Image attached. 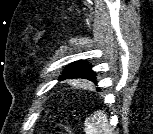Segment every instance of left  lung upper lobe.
<instances>
[{"label":"left lung upper lobe","instance_id":"left-lung-upper-lobe-1","mask_svg":"<svg viewBox=\"0 0 153 134\" xmlns=\"http://www.w3.org/2000/svg\"><path fill=\"white\" fill-rule=\"evenodd\" d=\"M74 78H82V79H88L90 81H93L95 84H97L95 80V73L91 70L90 66L82 61L73 62L70 64L64 71L63 76L60 78V80L65 79H74Z\"/></svg>","mask_w":153,"mask_h":134}]
</instances>
